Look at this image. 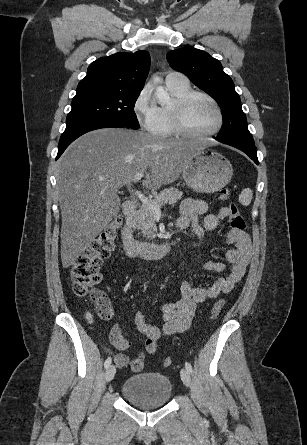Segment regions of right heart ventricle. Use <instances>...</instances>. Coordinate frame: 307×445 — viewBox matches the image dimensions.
Returning a JSON list of instances; mask_svg holds the SVG:
<instances>
[{
    "mask_svg": "<svg viewBox=\"0 0 307 445\" xmlns=\"http://www.w3.org/2000/svg\"><path fill=\"white\" fill-rule=\"evenodd\" d=\"M166 87L170 99L182 97L191 91V87L188 82L175 79L168 80L166 83ZM155 101L159 112V125L156 132L163 136L159 140H176L168 137L172 134H175L176 131L169 117L167 106L161 104L156 97Z\"/></svg>",
    "mask_w": 307,
    "mask_h": 445,
    "instance_id": "right-heart-ventricle-1",
    "label": "right heart ventricle"
}]
</instances>
